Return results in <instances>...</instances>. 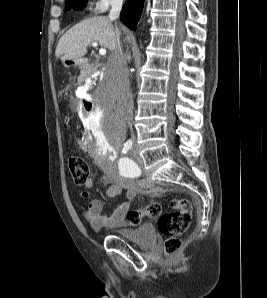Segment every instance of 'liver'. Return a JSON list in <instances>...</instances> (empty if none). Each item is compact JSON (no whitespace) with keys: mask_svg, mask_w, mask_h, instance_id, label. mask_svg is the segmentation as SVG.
<instances>
[{"mask_svg":"<svg viewBox=\"0 0 267 298\" xmlns=\"http://www.w3.org/2000/svg\"><path fill=\"white\" fill-rule=\"evenodd\" d=\"M118 38L119 30L113 27L108 17H91L74 25L60 38L55 56L63 62L79 61L86 55L92 42H98L102 47L113 50Z\"/></svg>","mask_w":267,"mask_h":298,"instance_id":"obj_1","label":"liver"}]
</instances>
